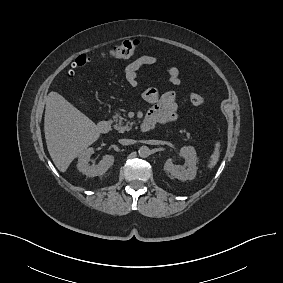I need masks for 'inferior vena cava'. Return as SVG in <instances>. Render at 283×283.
Returning a JSON list of instances; mask_svg holds the SVG:
<instances>
[{
    "mask_svg": "<svg viewBox=\"0 0 283 283\" xmlns=\"http://www.w3.org/2000/svg\"><path fill=\"white\" fill-rule=\"evenodd\" d=\"M119 143L122 145H131L134 144V140L132 139H120Z\"/></svg>",
    "mask_w": 283,
    "mask_h": 283,
    "instance_id": "obj_1",
    "label": "inferior vena cava"
}]
</instances>
